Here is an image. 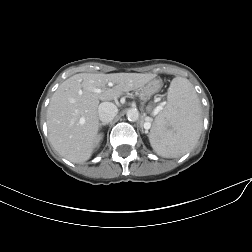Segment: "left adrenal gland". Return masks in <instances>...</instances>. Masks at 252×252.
<instances>
[{
	"instance_id": "a2214340",
	"label": "left adrenal gland",
	"mask_w": 252,
	"mask_h": 252,
	"mask_svg": "<svg viewBox=\"0 0 252 252\" xmlns=\"http://www.w3.org/2000/svg\"><path fill=\"white\" fill-rule=\"evenodd\" d=\"M142 132H143V133L145 132L146 134L148 133V131H147V130H145V131H144L143 127H142Z\"/></svg>"
}]
</instances>
